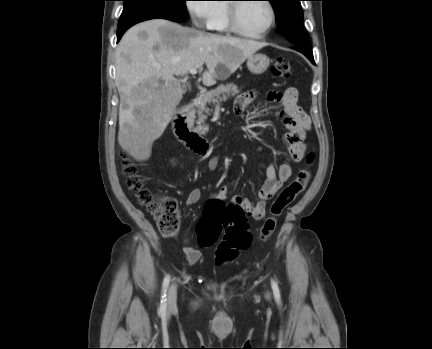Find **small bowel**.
Instances as JSON below:
<instances>
[{"label": "small bowel", "mask_w": 432, "mask_h": 349, "mask_svg": "<svg viewBox=\"0 0 432 349\" xmlns=\"http://www.w3.org/2000/svg\"><path fill=\"white\" fill-rule=\"evenodd\" d=\"M257 97L255 91H247L240 94L234 103V111L241 114L245 108ZM270 102L281 105V110L276 114L280 116L287 129L284 135L285 150L292 162H300L306 153L305 143L306 132L311 129V119L309 115L298 105V91L290 87L283 92L270 91L267 93ZM219 163V156H213L208 161V168L215 170ZM292 168L288 163L281 164L277 169L273 164L266 169L265 180L258 190V201L253 203L240 195H234L232 202L239 204L245 211L246 216L254 220H261L266 214V203L270 200L289 180ZM229 195L227 186H222L218 192L213 194V200L224 201ZM202 192L198 188L190 191L186 199V205L192 206L201 199ZM183 252L191 265L200 261L202 254L199 250L186 244Z\"/></svg>", "instance_id": "c3829d8e"}]
</instances>
